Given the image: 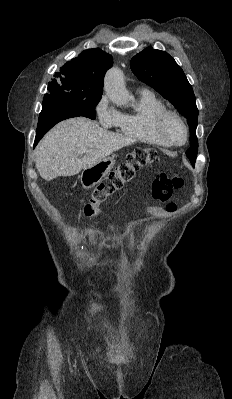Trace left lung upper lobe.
<instances>
[{
  "label": "left lung upper lobe",
  "instance_id": "obj_1",
  "mask_svg": "<svg viewBox=\"0 0 232 399\" xmlns=\"http://www.w3.org/2000/svg\"><path fill=\"white\" fill-rule=\"evenodd\" d=\"M130 66L139 80L154 88L187 118L190 148L186 151V156L194 166L198 151V109L193 89L183 70L168 53L152 47L135 55Z\"/></svg>",
  "mask_w": 232,
  "mask_h": 399
}]
</instances>
